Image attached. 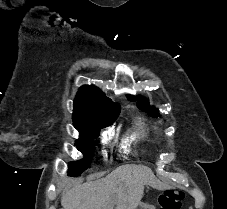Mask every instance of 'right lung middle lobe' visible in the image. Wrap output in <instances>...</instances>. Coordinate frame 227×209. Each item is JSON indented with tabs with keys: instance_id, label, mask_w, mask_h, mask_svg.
I'll return each instance as SVG.
<instances>
[{
	"instance_id": "obj_1",
	"label": "right lung middle lobe",
	"mask_w": 227,
	"mask_h": 209,
	"mask_svg": "<svg viewBox=\"0 0 227 209\" xmlns=\"http://www.w3.org/2000/svg\"><path fill=\"white\" fill-rule=\"evenodd\" d=\"M115 119H105L100 117H85L73 120L75 128L80 133V138L76 141V147L84 155V159L70 162L69 170L72 176H78L88 167L95 150L93 138H97L101 128L111 125Z\"/></svg>"
}]
</instances>
